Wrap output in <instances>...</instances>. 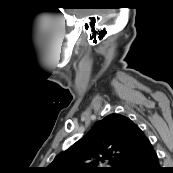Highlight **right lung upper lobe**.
Listing matches in <instances>:
<instances>
[{
  "label": "right lung upper lobe",
  "mask_w": 173,
  "mask_h": 173,
  "mask_svg": "<svg viewBox=\"0 0 173 173\" xmlns=\"http://www.w3.org/2000/svg\"><path fill=\"white\" fill-rule=\"evenodd\" d=\"M151 146L143 131L128 117L110 114L59 153L47 167V173H118L129 159ZM106 160H111V167H103Z\"/></svg>",
  "instance_id": "obj_1"
}]
</instances>
